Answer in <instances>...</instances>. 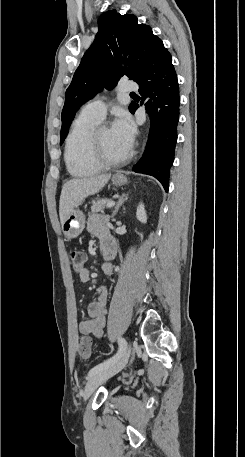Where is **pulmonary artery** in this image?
Masks as SVG:
<instances>
[{
    "instance_id": "obj_1",
    "label": "pulmonary artery",
    "mask_w": 245,
    "mask_h": 457,
    "mask_svg": "<svg viewBox=\"0 0 245 457\" xmlns=\"http://www.w3.org/2000/svg\"><path fill=\"white\" fill-rule=\"evenodd\" d=\"M142 83L137 80H121L119 82V94L131 95L133 90H141ZM106 114V106L103 101H94L85 104L80 111V115L89 116L101 120Z\"/></svg>"
}]
</instances>
